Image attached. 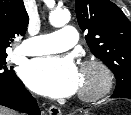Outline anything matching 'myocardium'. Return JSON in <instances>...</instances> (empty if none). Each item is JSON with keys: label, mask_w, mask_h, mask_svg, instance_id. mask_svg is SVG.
I'll return each instance as SVG.
<instances>
[{"label": "myocardium", "mask_w": 131, "mask_h": 115, "mask_svg": "<svg viewBox=\"0 0 131 115\" xmlns=\"http://www.w3.org/2000/svg\"><path fill=\"white\" fill-rule=\"evenodd\" d=\"M88 69H95L99 72L100 83L94 89L79 91L78 98L84 102H94L104 97L111 90L113 86V73L106 63L97 58L87 59L81 64V72Z\"/></svg>", "instance_id": "1"}]
</instances>
